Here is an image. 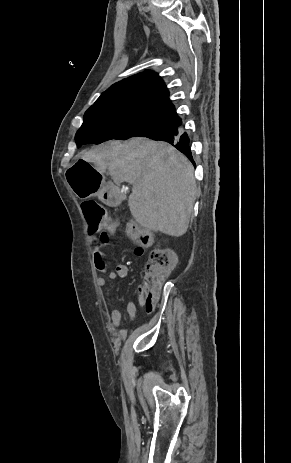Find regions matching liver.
Segmentation results:
<instances>
[{
    "label": "liver",
    "mask_w": 291,
    "mask_h": 463,
    "mask_svg": "<svg viewBox=\"0 0 291 463\" xmlns=\"http://www.w3.org/2000/svg\"><path fill=\"white\" fill-rule=\"evenodd\" d=\"M81 159L93 163L113 182L131 184L128 206L134 219L149 231L179 237L186 233L196 195L194 168L165 142L135 137L110 141L85 151Z\"/></svg>",
    "instance_id": "liver-1"
}]
</instances>
